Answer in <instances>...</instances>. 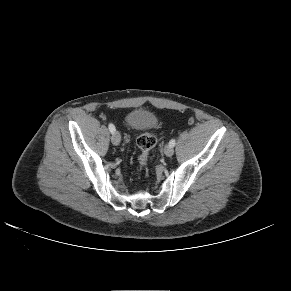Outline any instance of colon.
Listing matches in <instances>:
<instances>
[{
    "label": "colon",
    "instance_id": "5ec220e1",
    "mask_svg": "<svg viewBox=\"0 0 291 291\" xmlns=\"http://www.w3.org/2000/svg\"><path fill=\"white\" fill-rule=\"evenodd\" d=\"M155 144H156L155 137L148 132L139 135V137L137 138V145L140 149V155L138 160L141 168H144L150 162L151 160L150 152L152 148L155 146Z\"/></svg>",
    "mask_w": 291,
    "mask_h": 291
}]
</instances>
